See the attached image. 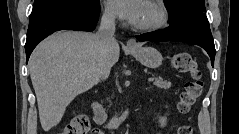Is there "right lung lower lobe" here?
<instances>
[{
    "instance_id": "right-lung-lower-lobe-1",
    "label": "right lung lower lobe",
    "mask_w": 239,
    "mask_h": 134,
    "mask_svg": "<svg viewBox=\"0 0 239 134\" xmlns=\"http://www.w3.org/2000/svg\"><path fill=\"white\" fill-rule=\"evenodd\" d=\"M99 14V4L85 5L76 1L52 3L33 12L25 44L26 62L36 45L51 33L59 30L92 31Z\"/></svg>"
}]
</instances>
